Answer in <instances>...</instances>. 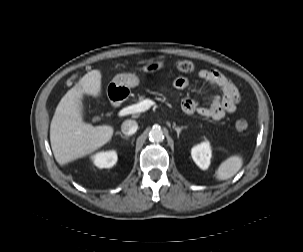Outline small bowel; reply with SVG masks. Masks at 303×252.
Listing matches in <instances>:
<instances>
[{"mask_svg":"<svg viewBox=\"0 0 303 252\" xmlns=\"http://www.w3.org/2000/svg\"><path fill=\"white\" fill-rule=\"evenodd\" d=\"M198 78L209 83L216 92L209 105H201L192 99H185L181 109L185 114H198L213 120L222 119L227 113H233L241 100V93L236 85L223 74L212 69H201ZM190 81L187 77H177L173 87L177 90L187 88Z\"/></svg>","mask_w":303,"mask_h":252,"instance_id":"c3829d8e","label":"small bowel"}]
</instances>
